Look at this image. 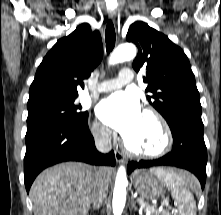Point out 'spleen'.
Returning a JSON list of instances; mask_svg holds the SVG:
<instances>
[{
  "label": "spleen",
  "instance_id": "1",
  "mask_svg": "<svg viewBox=\"0 0 221 215\" xmlns=\"http://www.w3.org/2000/svg\"><path fill=\"white\" fill-rule=\"evenodd\" d=\"M166 187L171 190L180 215H196V202L190 189L197 186L196 178L184 171H157Z\"/></svg>",
  "mask_w": 221,
  "mask_h": 215
}]
</instances>
